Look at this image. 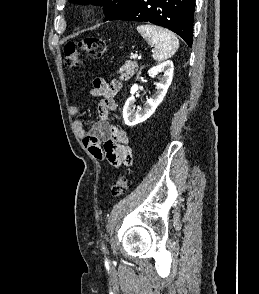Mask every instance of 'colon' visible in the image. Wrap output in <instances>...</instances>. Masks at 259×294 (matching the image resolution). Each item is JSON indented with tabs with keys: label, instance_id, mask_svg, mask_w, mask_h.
I'll use <instances>...</instances> for the list:
<instances>
[{
	"label": "colon",
	"instance_id": "1",
	"mask_svg": "<svg viewBox=\"0 0 259 294\" xmlns=\"http://www.w3.org/2000/svg\"><path fill=\"white\" fill-rule=\"evenodd\" d=\"M86 53L92 58H100L106 52V43L102 38L89 37L78 42H69L64 48L65 64L69 68H75L79 65L80 53ZM130 180L126 175L118 177L112 187V196L120 197L128 189Z\"/></svg>",
	"mask_w": 259,
	"mask_h": 294
}]
</instances>
